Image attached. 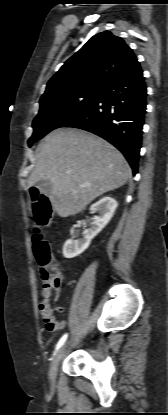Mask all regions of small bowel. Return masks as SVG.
<instances>
[{"mask_svg":"<svg viewBox=\"0 0 168 415\" xmlns=\"http://www.w3.org/2000/svg\"><path fill=\"white\" fill-rule=\"evenodd\" d=\"M59 289L60 283L57 286H50L48 284H44L41 290L43 300L39 305V310L46 324L47 329L50 331L63 329L66 325L65 320H57L55 318L54 311L50 303L53 290L56 291V294H58ZM57 311L63 312L64 308L62 306H59L57 307Z\"/></svg>","mask_w":168,"mask_h":415,"instance_id":"c3829d8e","label":"small bowel"}]
</instances>
